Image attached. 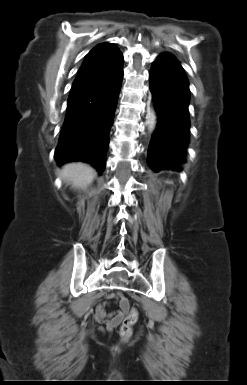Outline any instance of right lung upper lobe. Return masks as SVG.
<instances>
[{
	"label": "right lung upper lobe",
	"mask_w": 247,
	"mask_h": 385,
	"mask_svg": "<svg viewBox=\"0 0 247 385\" xmlns=\"http://www.w3.org/2000/svg\"><path fill=\"white\" fill-rule=\"evenodd\" d=\"M122 62L123 56L117 47L109 43L99 44L86 56L74 83L112 70Z\"/></svg>",
	"instance_id": "obj_1"
}]
</instances>
